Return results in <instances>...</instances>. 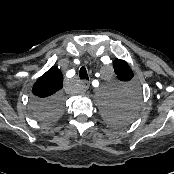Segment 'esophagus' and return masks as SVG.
I'll return each instance as SVG.
<instances>
[{
  "label": "esophagus",
  "mask_w": 174,
  "mask_h": 174,
  "mask_svg": "<svg viewBox=\"0 0 174 174\" xmlns=\"http://www.w3.org/2000/svg\"><path fill=\"white\" fill-rule=\"evenodd\" d=\"M82 90L86 91L90 87V82L87 80L82 81Z\"/></svg>",
  "instance_id": "obj_1"
}]
</instances>
